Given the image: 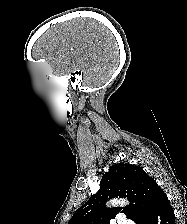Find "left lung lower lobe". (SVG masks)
<instances>
[{
	"instance_id": "1",
	"label": "left lung lower lobe",
	"mask_w": 187,
	"mask_h": 224,
	"mask_svg": "<svg viewBox=\"0 0 187 224\" xmlns=\"http://www.w3.org/2000/svg\"><path fill=\"white\" fill-rule=\"evenodd\" d=\"M138 224H175V214L162 189L156 195L148 214Z\"/></svg>"
}]
</instances>
